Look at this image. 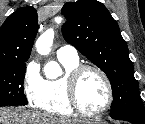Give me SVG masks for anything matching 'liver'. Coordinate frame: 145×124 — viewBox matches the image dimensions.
Instances as JSON below:
<instances>
[{"instance_id": "1", "label": "liver", "mask_w": 145, "mask_h": 124, "mask_svg": "<svg viewBox=\"0 0 145 124\" xmlns=\"http://www.w3.org/2000/svg\"><path fill=\"white\" fill-rule=\"evenodd\" d=\"M0 124H78V121L21 109H0Z\"/></svg>"}]
</instances>
